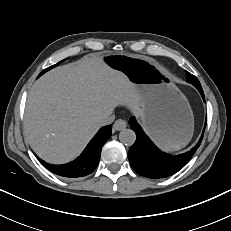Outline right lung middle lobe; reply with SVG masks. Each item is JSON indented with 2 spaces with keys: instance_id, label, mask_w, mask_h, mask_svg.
I'll return each mask as SVG.
<instances>
[{
  "instance_id": "dd1d6c3e",
  "label": "right lung middle lobe",
  "mask_w": 231,
  "mask_h": 231,
  "mask_svg": "<svg viewBox=\"0 0 231 231\" xmlns=\"http://www.w3.org/2000/svg\"><path fill=\"white\" fill-rule=\"evenodd\" d=\"M61 62H62V61H60V62H58L57 64H55V65H53V66H51V67L45 69L44 71H42V73L39 74V76H41V75H42L43 73H45L46 71L52 69L53 67L57 66V65H58L59 63H61ZM39 76H38V77H39Z\"/></svg>"
}]
</instances>
